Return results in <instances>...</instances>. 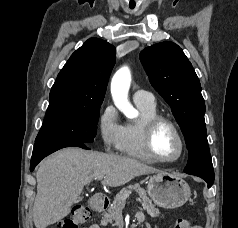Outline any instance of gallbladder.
<instances>
[{
	"mask_svg": "<svg viewBox=\"0 0 238 228\" xmlns=\"http://www.w3.org/2000/svg\"><path fill=\"white\" fill-rule=\"evenodd\" d=\"M80 200V197L77 198V202Z\"/></svg>",
	"mask_w": 238,
	"mask_h": 228,
	"instance_id": "1",
	"label": "gallbladder"
}]
</instances>
